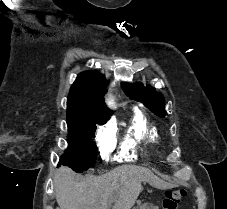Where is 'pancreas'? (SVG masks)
<instances>
[{
  "label": "pancreas",
  "mask_w": 227,
  "mask_h": 209,
  "mask_svg": "<svg viewBox=\"0 0 227 209\" xmlns=\"http://www.w3.org/2000/svg\"><path fill=\"white\" fill-rule=\"evenodd\" d=\"M142 209H153V208L150 206H144Z\"/></svg>",
  "instance_id": "1"
}]
</instances>
